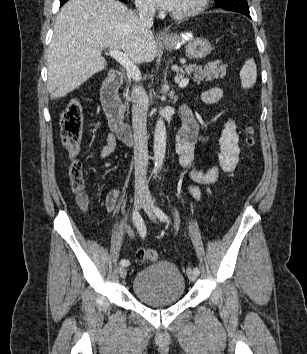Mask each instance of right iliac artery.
Segmentation results:
<instances>
[{
  "label": "right iliac artery",
  "mask_w": 307,
  "mask_h": 354,
  "mask_svg": "<svg viewBox=\"0 0 307 354\" xmlns=\"http://www.w3.org/2000/svg\"><path fill=\"white\" fill-rule=\"evenodd\" d=\"M132 218H133V223L135 224V226H136L141 238H144L145 235H146V228H145L143 220H142V218H141V216H140V214H139V212L137 210L133 211ZM120 264L122 266H129L130 262L127 259H122L120 261Z\"/></svg>",
  "instance_id": "obj_1"
}]
</instances>
